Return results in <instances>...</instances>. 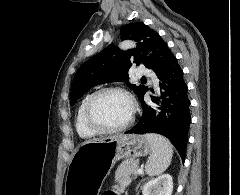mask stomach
I'll return each instance as SVG.
<instances>
[{"mask_svg": "<svg viewBox=\"0 0 240 195\" xmlns=\"http://www.w3.org/2000/svg\"><path fill=\"white\" fill-rule=\"evenodd\" d=\"M150 151L148 139L137 133H117L83 141L68 165L65 195H99L104 179L118 159H135Z\"/></svg>", "mask_w": 240, "mask_h": 195, "instance_id": "1", "label": "stomach"}]
</instances>
